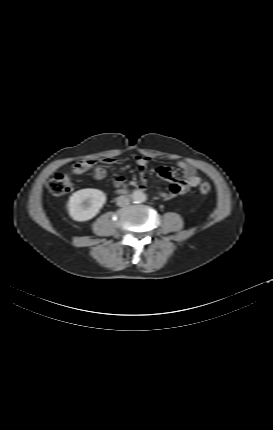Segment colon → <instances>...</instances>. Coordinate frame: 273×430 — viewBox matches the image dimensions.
Masks as SVG:
<instances>
[{"label": "colon", "mask_w": 273, "mask_h": 430, "mask_svg": "<svg viewBox=\"0 0 273 430\" xmlns=\"http://www.w3.org/2000/svg\"><path fill=\"white\" fill-rule=\"evenodd\" d=\"M47 187L49 191L56 196H62L69 193L72 190L73 182L72 179L66 173L58 172L55 173L48 181ZM211 191V184L203 182L199 186V192L205 195Z\"/></svg>", "instance_id": "obj_1"}]
</instances>
